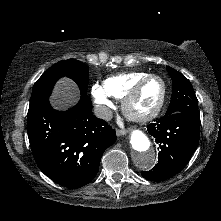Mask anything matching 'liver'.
I'll list each match as a JSON object with an SVG mask.
<instances>
[{"mask_svg":"<svg viewBox=\"0 0 221 221\" xmlns=\"http://www.w3.org/2000/svg\"><path fill=\"white\" fill-rule=\"evenodd\" d=\"M79 99V90L76 84L68 79H61L55 86L51 102L56 108L65 109L75 104Z\"/></svg>","mask_w":221,"mask_h":221,"instance_id":"obj_1","label":"liver"}]
</instances>
